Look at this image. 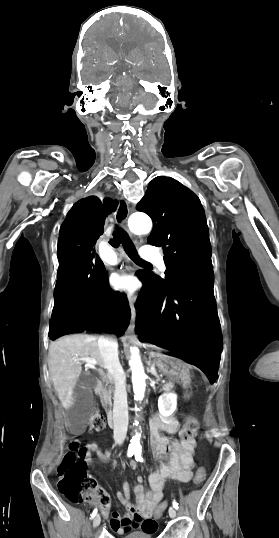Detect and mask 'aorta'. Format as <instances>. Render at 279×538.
Wrapping results in <instances>:
<instances>
[{"label": "aorta", "mask_w": 279, "mask_h": 538, "mask_svg": "<svg viewBox=\"0 0 279 538\" xmlns=\"http://www.w3.org/2000/svg\"><path fill=\"white\" fill-rule=\"evenodd\" d=\"M128 226L130 230L135 234H147L152 229V221L149 216L141 213H134L129 217ZM132 371V384L133 391L135 394V399L141 401L144 397L145 392V379L146 374L139 356L138 348H133L131 350V360L129 362ZM130 448L139 449L140 445V435L136 434L130 443Z\"/></svg>", "instance_id": "obj_1"}]
</instances>
